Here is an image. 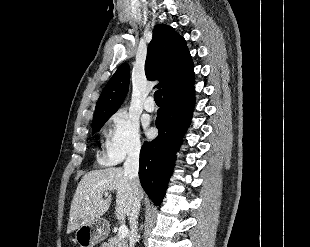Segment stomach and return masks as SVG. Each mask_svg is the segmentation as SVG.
<instances>
[{
  "instance_id": "1",
  "label": "stomach",
  "mask_w": 310,
  "mask_h": 247,
  "mask_svg": "<svg viewBox=\"0 0 310 247\" xmlns=\"http://www.w3.org/2000/svg\"><path fill=\"white\" fill-rule=\"evenodd\" d=\"M108 231V223L103 219H95L80 225L75 233V240L80 247H94Z\"/></svg>"
}]
</instances>
